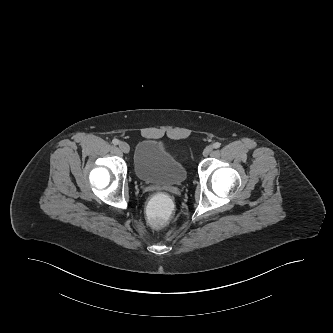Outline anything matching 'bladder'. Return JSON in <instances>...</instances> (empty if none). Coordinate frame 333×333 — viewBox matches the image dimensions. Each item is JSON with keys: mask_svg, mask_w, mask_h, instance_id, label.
<instances>
[{"mask_svg": "<svg viewBox=\"0 0 333 333\" xmlns=\"http://www.w3.org/2000/svg\"><path fill=\"white\" fill-rule=\"evenodd\" d=\"M133 168L139 180L163 186L181 185L187 168L160 143L146 139L135 149Z\"/></svg>", "mask_w": 333, "mask_h": 333, "instance_id": "1", "label": "bladder"}]
</instances>
